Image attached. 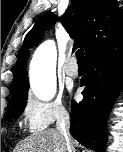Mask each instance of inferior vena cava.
Instances as JSON below:
<instances>
[{
	"instance_id": "inferior-vena-cava-1",
	"label": "inferior vena cava",
	"mask_w": 123,
	"mask_h": 152,
	"mask_svg": "<svg viewBox=\"0 0 123 152\" xmlns=\"http://www.w3.org/2000/svg\"><path fill=\"white\" fill-rule=\"evenodd\" d=\"M70 117L66 111H61L57 117L56 130L62 135L66 144L67 152H75L72 146V139L69 133Z\"/></svg>"
}]
</instances>
